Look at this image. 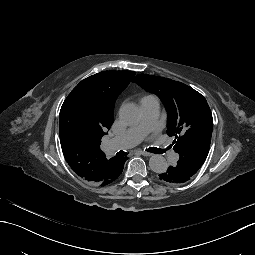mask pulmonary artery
<instances>
[{"label":"pulmonary artery","instance_id":"pulmonary-artery-1","mask_svg":"<svg viewBox=\"0 0 255 255\" xmlns=\"http://www.w3.org/2000/svg\"><path fill=\"white\" fill-rule=\"evenodd\" d=\"M140 109L142 120L139 122L138 127L130 128L107 141L106 151L108 155L134 147L142 140L144 135H153L156 131L161 129L162 123L157 119L160 109L157 99L141 102ZM153 138H157V135H153ZM157 145H160V149L167 150V147L163 146V141L158 140ZM168 150L170 151L166 154L167 159L172 163L177 162L179 159L178 154L171 150V147H168Z\"/></svg>","mask_w":255,"mask_h":255}]
</instances>
